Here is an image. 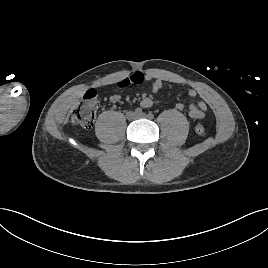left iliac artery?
<instances>
[{
    "label": "left iliac artery",
    "mask_w": 268,
    "mask_h": 268,
    "mask_svg": "<svg viewBox=\"0 0 268 268\" xmlns=\"http://www.w3.org/2000/svg\"><path fill=\"white\" fill-rule=\"evenodd\" d=\"M148 118H149V119H153V118H154V114H153V113H151V112H150V113H148Z\"/></svg>",
    "instance_id": "1"
}]
</instances>
